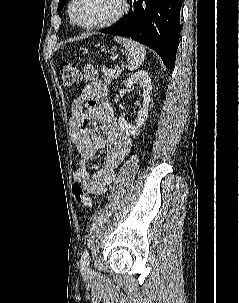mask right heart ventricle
I'll return each instance as SVG.
<instances>
[{
    "instance_id": "right-heart-ventricle-1",
    "label": "right heart ventricle",
    "mask_w": 239,
    "mask_h": 303,
    "mask_svg": "<svg viewBox=\"0 0 239 303\" xmlns=\"http://www.w3.org/2000/svg\"><path fill=\"white\" fill-rule=\"evenodd\" d=\"M72 3V2H71ZM71 3H70V6H71ZM70 6H69V13H70Z\"/></svg>"
}]
</instances>
